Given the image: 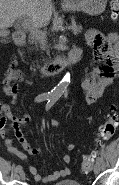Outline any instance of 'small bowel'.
<instances>
[{"mask_svg": "<svg viewBox=\"0 0 119 185\" xmlns=\"http://www.w3.org/2000/svg\"><path fill=\"white\" fill-rule=\"evenodd\" d=\"M86 40L94 49V61L97 63H103L100 67L95 68L82 82V87L86 93V101L88 104H92L101 97L105 87L110 85L115 78L119 67V44L116 33H104L94 29L87 31ZM16 66V60L10 63L5 71V76L2 81V91L6 97L11 99V104L14 106L18 104L17 91L19 89V85L31 84V81L27 79L24 74L16 68ZM2 113L1 135L8 151L23 161L27 160V153L38 156L40 154V150L28 143L20 130L22 125H26L30 122V116L23 113L21 117H15L12 114L9 105L2 106ZM7 120H11L12 122L11 131L20 142L22 146L21 150L13 145V139L6 126ZM51 125L53 127H57L59 126V122L53 120ZM74 147V144L69 143L66 145V150L72 151ZM62 159L65 163H70L71 156L69 153H64ZM29 170L33 174L36 182L43 183L52 182L71 174V169L69 167H65L48 176H42L33 165L29 166Z\"/></svg>", "mask_w": 119, "mask_h": 185, "instance_id": "obj_1", "label": "small bowel"}]
</instances>
